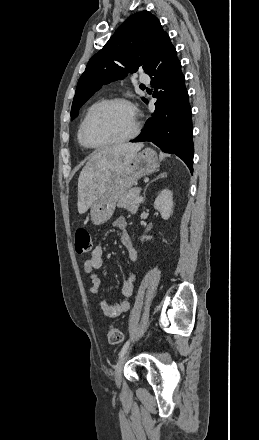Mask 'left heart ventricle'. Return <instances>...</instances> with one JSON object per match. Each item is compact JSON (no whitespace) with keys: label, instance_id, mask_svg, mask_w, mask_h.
I'll return each instance as SVG.
<instances>
[{"label":"left heart ventricle","instance_id":"b2bd125f","mask_svg":"<svg viewBox=\"0 0 259 440\" xmlns=\"http://www.w3.org/2000/svg\"><path fill=\"white\" fill-rule=\"evenodd\" d=\"M134 127V114L124 104H112L97 112L87 127V138L93 144L118 140Z\"/></svg>","mask_w":259,"mask_h":440}]
</instances>
